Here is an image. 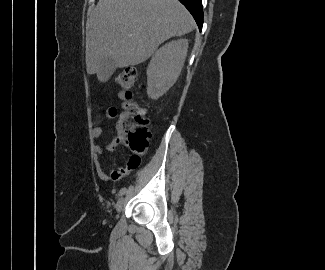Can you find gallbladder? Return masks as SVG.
I'll use <instances>...</instances> for the list:
<instances>
[{
    "instance_id": "1",
    "label": "gallbladder",
    "mask_w": 325,
    "mask_h": 270,
    "mask_svg": "<svg viewBox=\"0 0 325 270\" xmlns=\"http://www.w3.org/2000/svg\"><path fill=\"white\" fill-rule=\"evenodd\" d=\"M104 65H103V69L101 74L105 77L108 78L110 77L114 71L116 70V67L112 61V59L107 58L103 61Z\"/></svg>"
}]
</instances>
